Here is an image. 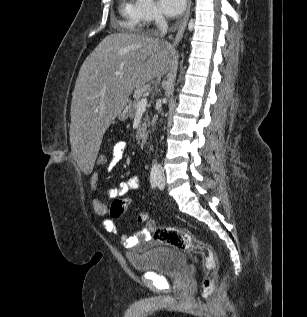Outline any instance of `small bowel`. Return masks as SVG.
Segmentation results:
<instances>
[{"label": "small bowel", "mask_w": 307, "mask_h": 317, "mask_svg": "<svg viewBox=\"0 0 307 317\" xmlns=\"http://www.w3.org/2000/svg\"><path fill=\"white\" fill-rule=\"evenodd\" d=\"M128 150V144L125 141H117L112 148V155L108 161L105 169L107 171L113 170L123 159L125 153ZM99 172L95 171L90 177V187L93 191H98ZM139 187V178L137 176H131L126 181L119 183L117 186L107 190L106 196L110 199H116L124 196L129 191L136 190ZM92 205L95 212L100 216H105L108 212V206L100 199L94 198ZM104 227L106 230L117 233V226L111 220L104 221ZM151 236L148 231H140L134 236H128L123 234L121 236V242L126 248H142L150 240Z\"/></svg>", "instance_id": "small-bowel-1"}]
</instances>
